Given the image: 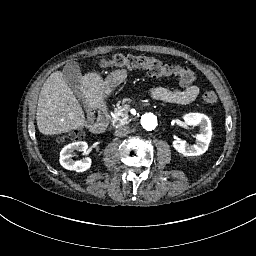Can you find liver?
Masks as SVG:
<instances>
[{"label": "liver", "instance_id": "6515ba94", "mask_svg": "<svg viewBox=\"0 0 256 256\" xmlns=\"http://www.w3.org/2000/svg\"><path fill=\"white\" fill-rule=\"evenodd\" d=\"M81 84L80 91L88 107L91 110L100 109L104 101L103 92L109 90V84L97 72L85 74ZM36 120L39 131L45 135L61 134L85 126L82 107L66 84L62 72L52 73L44 82Z\"/></svg>", "mask_w": 256, "mask_h": 256}]
</instances>
